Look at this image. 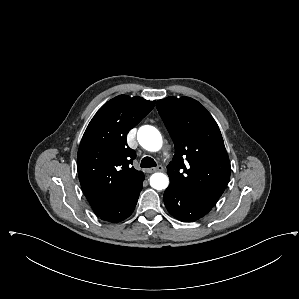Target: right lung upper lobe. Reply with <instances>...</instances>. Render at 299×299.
Instances as JSON below:
<instances>
[{
	"label": "right lung upper lobe",
	"instance_id": "cb5924a9",
	"mask_svg": "<svg viewBox=\"0 0 299 299\" xmlns=\"http://www.w3.org/2000/svg\"><path fill=\"white\" fill-rule=\"evenodd\" d=\"M155 101L119 95L103 105L81 140L77 169L82 190L100 215L120 201L142 178L131 167L136 156L127 133L154 107Z\"/></svg>",
	"mask_w": 299,
	"mask_h": 299
}]
</instances>
